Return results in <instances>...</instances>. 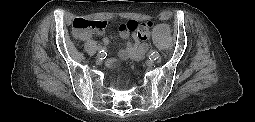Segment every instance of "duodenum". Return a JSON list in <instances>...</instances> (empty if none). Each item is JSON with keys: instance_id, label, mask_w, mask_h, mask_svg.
<instances>
[{"instance_id": "410a0bca", "label": "duodenum", "mask_w": 255, "mask_h": 122, "mask_svg": "<svg viewBox=\"0 0 255 122\" xmlns=\"http://www.w3.org/2000/svg\"><path fill=\"white\" fill-rule=\"evenodd\" d=\"M89 39H90V38H85V39H83V37H82V40H84V41H85V40H89Z\"/></svg>"}]
</instances>
